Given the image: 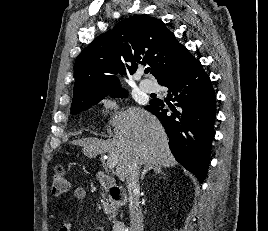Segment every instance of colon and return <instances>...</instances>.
Wrapping results in <instances>:
<instances>
[{"label":"colon","instance_id":"5ec220e1","mask_svg":"<svg viewBox=\"0 0 268 231\" xmlns=\"http://www.w3.org/2000/svg\"><path fill=\"white\" fill-rule=\"evenodd\" d=\"M69 192V182L61 167H58L52 177L51 193L55 197H62Z\"/></svg>","mask_w":268,"mask_h":231}]
</instances>
